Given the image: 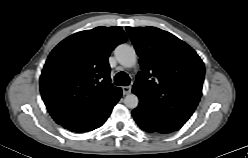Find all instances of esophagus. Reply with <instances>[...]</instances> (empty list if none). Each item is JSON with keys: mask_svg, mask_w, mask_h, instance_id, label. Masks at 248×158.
Listing matches in <instances>:
<instances>
[{"mask_svg": "<svg viewBox=\"0 0 248 158\" xmlns=\"http://www.w3.org/2000/svg\"><path fill=\"white\" fill-rule=\"evenodd\" d=\"M122 91L124 95H128L131 93V87L130 86H124L122 87Z\"/></svg>", "mask_w": 248, "mask_h": 158, "instance_id": "esophagus-1", "label": "esophagus"}]
</instances>
